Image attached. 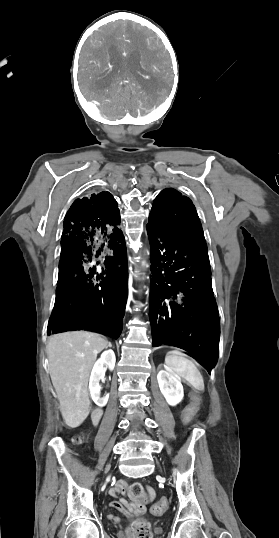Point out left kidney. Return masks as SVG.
I'll use <instances>...</instances> for the list:
<instances>
[{
  "mask_svg": "<svg viewBox=\"0 0 279 538\" xmlns=\"http://www.w3.org/2000/svg\"><path fill=\"white\" fill-rule=\"evenodd\" d=\"M161 394H163L167 404L176 406L184 398L183 386L177 374H174L170 368L160 370L157 376Z\"/></svg>",
  "mask_w": 279,
  "mask_h": 538,
  "instance_id": "5707ae66",
  "label": "left kidney"
}]
</instances>
